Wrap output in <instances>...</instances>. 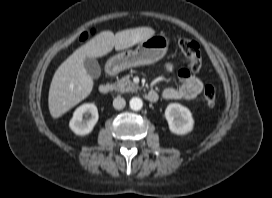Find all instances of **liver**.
<instances>
[{"label":"liver","mask_w":272,"mask_h":198,"mask_svg":"<svg viewBox=\"0 0 272 198\" xmlns=\"http://www.w3.org/2000/svg\"><path fill=\"white\" fill-rule=\"evenodd\" d=\"M155 34L149 27H138L117 32L102 31L78 48L56 70L49 89L48 106L53 118H59L93 89V79L84 67L86 57L98 58L115 50H124Z\"/></svg>","instance_id":"liver-1"}]
</instances>
